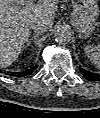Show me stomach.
I'll list each match as a JSON object with an SVG mask.
<instances>
[{
  "label": "stomach",
  "mask_w": 100,
  "mask_h": 118,
  "mask_svg": "<svg viewBox=\"0 0 100 118\" xmlns=\"http://www.w3.org/2000/svg\"><path fill=\"white\" fill-rule=\"evenodd\" d=\"M71 22L78 29L81 37H89L99 15L97 0H72Z\"/></svg>",
  "instance_id": "0dacf381"
}]
</instances>
